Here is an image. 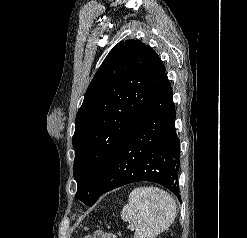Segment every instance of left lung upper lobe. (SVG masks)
I'll return each mask as SVG.
<instances>
[{"instance_id": "left-lung-upper-lobe-1", "label": "left lung upper lobe", "mask_w": 247, "mask_h": 238, "mask_svg": "<svg viewBox=\"0 0 247 238\" xmlns=\"http://www.w3.org/2000/svg\"><path fill=\"white\" fill-rule=\"evenodd\" d=\"M165 74L153 49L138 40L119 42L91 81L75 121L76 197L88 206L99 198L110 164L148 107Z\"/></svg>"}]
</instances>
